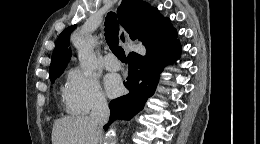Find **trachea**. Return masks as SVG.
I'll return each mask as SVG.
<instances>
[{"label":"trachea","instance_id":"trachea-1","mask_svg":"<svg viewBox=\"0 0 260 144\" xmlns=\"http://www.w3.org/2000/svg\"><path fill=\"white\" fill-rule=\"evenodd\" d=\"M119 23L114 12H109L105 18V39L114 55L121 61L127 62L125 52L118 41Z\"/></svg>","mask_w":260,"mask_h":144}]
</instances>
